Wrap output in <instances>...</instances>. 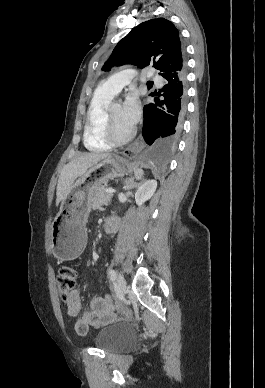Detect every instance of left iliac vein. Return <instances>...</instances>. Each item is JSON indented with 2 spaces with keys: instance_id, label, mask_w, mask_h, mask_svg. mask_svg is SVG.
Here are the masks:
<instances>
[{
  "instance_id": "1",
  "label": "left iliac vein",
  "mask_w": 265,
  "mask_h": 388,
  "mask_svg": "<svg viewBox=\"0 0 265 388\" xmlns=\"http://www.w3.org/2000/svg\"><path fill=\"white\" fill-rule=\"evenodd\" d=\"M116 285L119 290V293L124 297L127 293V284L124 277L121 274L117 276Z\"/></svg>"
}]
</instances>
